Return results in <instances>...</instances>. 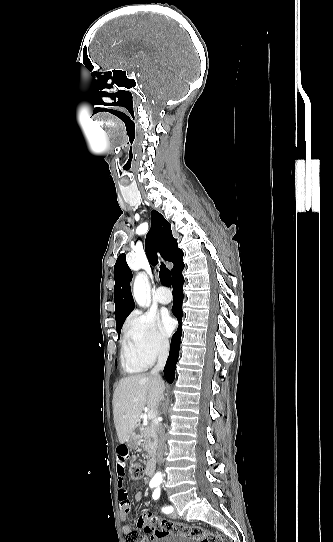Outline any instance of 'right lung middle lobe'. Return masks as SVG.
Returning a JSON list of instances; mask_svg holds the SVG:
<instances>
[{
	"label": "right lung middle lobe",
	"instance_id": "dd1d6c3e",
	"mask_svg": "<svg viewBox=\"0 0 333 542\" xmlns=\"http://www.w3.org/2000/svg\"><path fill=\"white\" fill-rule=\"evenodd\" d=\"M121 327H122V325H121ZM121 327H120V328H117L118 336H120Z\"/></svg>",
	"mask_w": 333,
	"mask_h": 542
}]
</instances>
